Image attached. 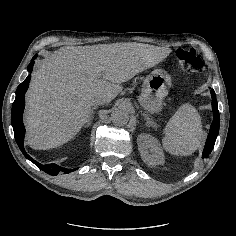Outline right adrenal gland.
Segmentation results:
<instances>
[{
    "label": "right adrenal gland",
    "mask_w": 236,
    "mask_h": 236,
    "mask_svg": "<svg viewBox=\"0 0 236 236\" xmlns=\"http://www.w3.org/2000/svg\"><path fill=\"white\" fill-rule=\"evenodd\" d=\"M96 108V106H94V107H92V110H94ZM90 118H92V115L90 116ZM90 122V121H89ZM89 122L88 123H86V126H88L89 125Z\"/></svg>",
    "instance_id": "obj_1"
}]
</instances>
